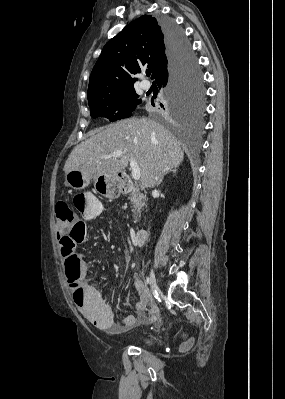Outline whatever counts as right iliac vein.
<instances>
[{
  "mask_svg": "<svg viewBox=\"0 0 285 399\" xmlns=\"http://www.w3.org/2000/svg\"><path fill=\"white\" fill-rule=\"evenodd\" d=\"M149 279H150L151 290L152 291L157 290L158 287H157L156 278H155V274H154L153 269H151Z\"/></svg>",
  "mask_w": 285,
  "mask_h": 399,
  "instance_id": "right-iliac-vein-1",
  "label": "right iliac vein"
}]
</instances>
